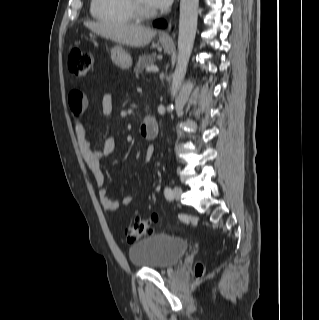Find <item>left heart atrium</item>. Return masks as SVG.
I'll list each match as a JSON object with an SVG mask.
<instances>
[{"mask_svg": "<svg viewBox=\"0 0 319 320\" xmlns=\"http://www.w3.org/2000/svg\"><path fill=\"white\" fill-rule=\"evenodd\" d=\"M148 2L155 9H165L171 4L172 0H148Z\"/></svg>", "mask_w": 319, "mask_h": 320, "instance_id": "1", "label": "left heart atrium"}]
</instances>
